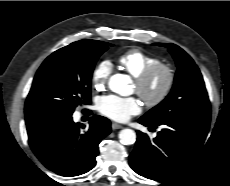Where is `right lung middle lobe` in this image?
I'll use <instances>...</instances> for the list:
<instances>
[{"label":"right lung middle lobe","mask_w":230,"mask_h":186,"mask_svg":"<svg viewBox=\"0 0 230 186\" xmlns=\"http://www.w3.org/2000/svg\"><path fill=\"white\" fill-rule=\"evenodd\" d=\"M108 46L106 42L81 40L52 53L35 75L25 114L66 116L78 105L90 104L94 65Z\"/></svg>","instance_id":"obj_1"}]
</instances>
